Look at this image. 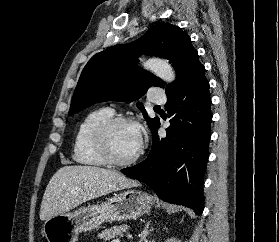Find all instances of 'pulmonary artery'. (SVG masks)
Segmentation results:
<instances>
[{
	"mask_svg": "<svg viewBox=\"0 0 279 242\" xmlns=\"http://www.w3.org/2000/svg\"><path fill=\"white\" fill-rule=\"evenodd\" d=\"M149 99L155 104H164L166 101V95L159 87L153 86L150 89Z\"/></svg>",
	"mask_w": 279,
	"mask_h": 242,
	"instance_id": "pulmonary-artery-1",
	"label": "pulmonary artery"
}]
</instances>
